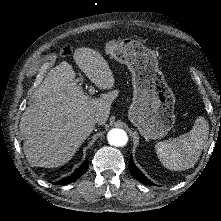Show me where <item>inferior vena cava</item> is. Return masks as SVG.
Segmentation results:
<instances>
[{
  "label": "inferior vena cava",
  "instance_id": "inferior-vena-cava-1",
  "mask_svg": "<svg viewBox=\"0 0 221 221\" xmlns=\"http://www.w3.org/2000/svg\"><path fill=\"white\" fill-rule=\"evenodd\" d=\"M99 119H100V116H99V114H96V113L90 114L89 117H88L89 123H90L91 125H93V126H94L96 123H98Z\"/></svg>",
  "mask_w": 221,
  "mask_h": 221
}]
</instances>
